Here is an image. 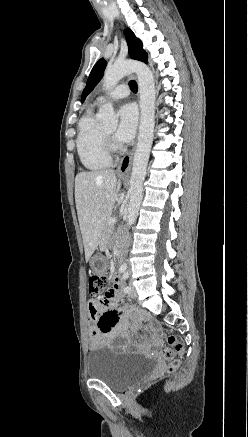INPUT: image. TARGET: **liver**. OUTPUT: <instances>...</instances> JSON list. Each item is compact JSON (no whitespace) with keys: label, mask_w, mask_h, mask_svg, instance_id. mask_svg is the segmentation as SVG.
Returning a JSON list of instances; mask_svg holds the SVG:
<instances>
[{"label":"liver","mask_w":248,"mask_h":437,"mask_svg":"<svg viewBox=\"0 0 248 437\" xmlns=\"http://www.w3.org/2000/svg\"><path fill=\"white\" fill-rule=\"evenodd\" d=\"M121 182L114 170L80 172L75 178V202L88 261L104 237Z\"/></svg>","instance_id":"obj_1"}]
</instances>
